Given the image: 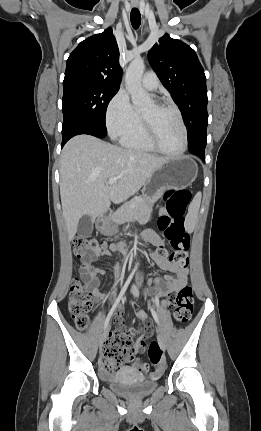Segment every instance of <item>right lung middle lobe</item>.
I'll list each match as a JSON object with an SVG mask.
<instances>
[{
	"mask_svg": "<svg viewBox=\"0 0 261 431\" xmlns=\"http://www.w3.org/2000/svg\"><path fill=\"white\" fill-rule=\"evenodd\" d=\"M63 89L64 121H79L94 133L90 135L104 138L106 109L119 88L87 78H71L63 81Z\"/></svg>",
	"mask_w": 261,
	"mask_h": 431,
	"instance_id": "1",
	"label": "right lung middle lobe"
}]
</instances>
